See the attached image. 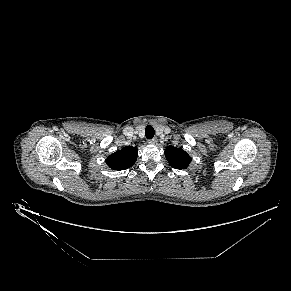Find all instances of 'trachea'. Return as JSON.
Listing matches in <instances>:
<instances>
[{
  "mask_svg": "<svg viewBox=\"0 0 291 291\" xmlns=\"http://www.w3.org/2000/svg\"><path fill=\"white\" fill-rule=\"evenodd\" d=\"M155 131L151 125H148L145 129V136L148 139H152L154 137Z\"/></svg>",
  "mask_w": 291,
  "mask_h": 291,
  "instance_id": "obj_1",
  "label": "trachea"
}]
</instances>
